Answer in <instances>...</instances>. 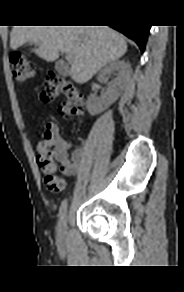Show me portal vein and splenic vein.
<instances>
[{"label": "portal vein and splenic vein", "mask_w": 184, "mask_h": 292, "mask_svg": "<svg viewBox=\"0 0 184 292\" xmlns=\"http://www.w3.org/2000/svg\"><path fill=\"white\" fill-rule=\"evenodd\" d=\"M66 60L69 61V62L72 61L73 60L72 54L66 53Z\"/></svg>", "instance_id": "obj_1"}]
</instances>
